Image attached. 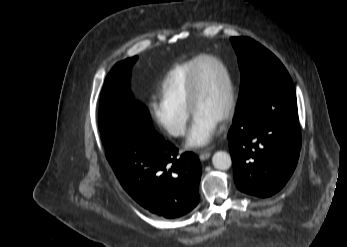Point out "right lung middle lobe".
I'll use <instances>...</instances> for the list:
<instances>
[{"label":"right lung middle lobe","mask_w":347,"mask_h":247,"mask_svg":"<svg viewBox=\"0 0 347 247\" xmlns=\"http://www.w3.org/2000/svg\"><path fill=\"white\" fill-rule=\"evenodd\" d=\"M136 60L137 56L117 63L106 77L99 107L100 130L120 121L137 119L136 115L141 116L144 124L150 126L148 111L134 101L130 92L131 68Z\"/></svg>","instance_id":"dd1d6c3e"}]
</instances>
